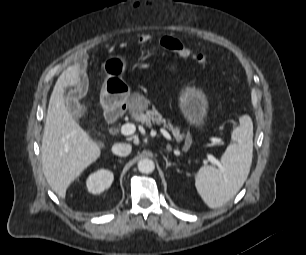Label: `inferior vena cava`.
<instances>
[{
    "label": "inferior vena cava",
    "instance_id": "obj_1",
    "mask_svg": "<svg viewBox=\"0 0 306 255\" xmlns=\"http://www.w3.org/2000/svg\"><path fill=\"white\" fill-rule=\"evenodd\" d=\"M132 146L126 143H116L112 146V152L115 155L125 157L131 153Z\"/></svg>",
    "mask_w": 306,
    "mask_h": 255
}]
</instances>
